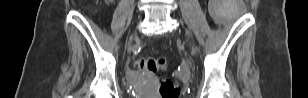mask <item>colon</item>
I'll return each instance as SVG.
<instances>
[{"mask_svg":"<svg viewBox=\"0 0 308 98\" xmlns=\"http://www.w3.org/2000/svg\"><path fill=\"white\" fill-rule=\"evenodd\" d=\"M134 67L149 72L162 71L167 68V61L164 58L143 57L134 62ZM179 93L180 88L171 81L165 80L161 83L160 94L162 98H175Z\"/></svg>","mask_w":308,"mask_h":98,"instance_id":"obj_1","label":"colon"}]
</instances>
